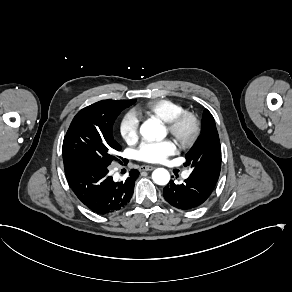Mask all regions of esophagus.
<instances>
[{"instance_id":"1","label":"esophagus","mask_w":292,"mask_h":292,"mask_svg":"<svg viewBox=\"0 0 292 292\" xmlns=\"http://www.w3.org/2000/svg\"><path fill=\"white\" fill-rule=\"evenodd\" d=\"M155 167L153 166H149V165H142L140 168H139V171H152L154 170Z\"/></svg>"}]
</instances>
